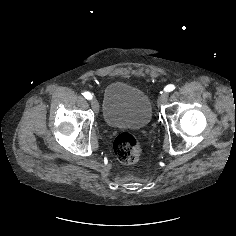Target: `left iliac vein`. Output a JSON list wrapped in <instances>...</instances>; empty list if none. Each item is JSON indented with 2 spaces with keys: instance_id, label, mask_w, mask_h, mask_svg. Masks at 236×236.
Segmentation results:
<instances>
[{
  "instance_id": "4c4485c4",
  "label": "left iliac vein",
  "mask_w": 236,
  "mask_h": 236,
  "mask_svg": "<svg viewBox=\"0 0 236 236\" xmlns=\"http://www.w3.org/2000/svg\"><path fill=\"white\" fill-rule=\"evenodd\" d=\"M168 97H169L168 93L161 94V96L159 97V100H158V105L165 104L167 102V100H168Z\"/></svg>"
}]
</instances>
